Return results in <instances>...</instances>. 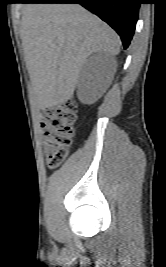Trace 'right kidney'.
<instances>
[{"instance_id":"ca27d5eb","label":"right kidney","mask_w":166,"mask_h":267,"mask_svg":"<svg viewBox=\"0 0 166 267\" xmlns=\"http://www.w3.org/2000/svg\"><path fill=\"white\" fill-rule=\"evenodd\" d=\"M92 60L91 72L83 70L78 84V98L84 104L95 102L105 92L107 86L104 75L111 68V64L102 55L92 57Z\"/></svg>"}]
</instances>
